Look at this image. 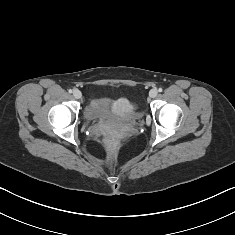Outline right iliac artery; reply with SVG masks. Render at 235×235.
<instances>
[{
    "label": "right iliac artery",
    "mask_w": 235,
    "mask_h": 235,
    "mask_svg": "<svg viewBox=\"0 0 235 235\" xmlns=\"http://www.w3.org/2000/svg\"><path fill=\"white\" fill-rule=\"evenodd\" d=\"M68 92H69V93H72L73 91H72V89H69Z\"/></svg>",
    "instance_id": "82829eb1"
}]
</instances>
